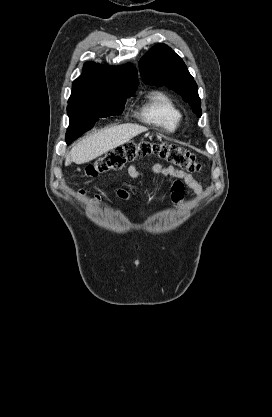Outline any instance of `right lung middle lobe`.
<instances>
[{
  "label": "right lung middle lobe",
  "mask_w": 272,
  "mask_h": 417,
  "mask_svg": "<svg viewBox=\"0 0 272 417\" xmlns=\"http://www.w3.org/2000/svg\"><path fill=\"white\" fill-rule=\"evenodd\" d=\"M135 91L136 89L120 93H100L69 102L67 112L70 125L66 133V143L70 144L90 130L98 118L121 114L126 98L134 96Z\"/></svg>",
  "instance_id": "1"
}]
</instances>
